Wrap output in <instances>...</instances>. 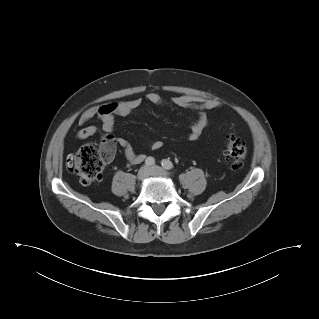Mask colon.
Masks as SVG:
<instances>
[{"instance_id": "colon-1", "label": "colon", "mask_w": 319, "mask_h": 319, "mask_svg": "<svg viewBox=\"0 0 319 319\" xmlns=\"http://www.w3.org/2000/svg\"><path fill=\"white\" fill-rule=\"evenodd\" d=\"M114 150V139L106 136L99 145L85 144L80 147L67 159V167L79 176L83 184L96 183L101 180L104 166L113 156ZM246 154L245 142L232 133L228 134L223 155L231 168H241Z\"/></svg>"}]
</instances>
